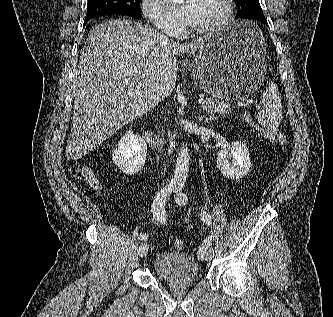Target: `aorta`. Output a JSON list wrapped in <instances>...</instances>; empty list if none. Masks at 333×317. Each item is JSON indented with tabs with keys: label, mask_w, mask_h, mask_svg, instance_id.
I'll return each instance as SVG.
<instances>
[{
	"label": "aorta",
	"mask_w": 333,
	"mask_h": 317,
	"mask_svg": "<svg viewBox=\"0 0 333 317\" xmlns=\"http://www.w3.org/2000/svg\"><path fill=\"white\" fill-rule=\"evenodd\" d=\"M165 1H173L178 2L182 0H165ZM189 150L186 145H182L180 148V152L178 153V157L176 160V167L174 170V175L172 177L173 184L183 185L186 181L188 172H189Z\"/></svg>",
	"instance_id": "762f6f07"
}]
</instances>
